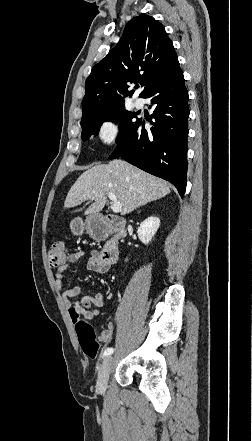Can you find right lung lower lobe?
<instances>
[{
	"label": "right lung lower lobe",
	"mask_w": 252,
	"mask_h": 441,
	"mask_svg": "<svg viewBox=\"0 0 252 441\" xmlns=\"http://www.w3.org/2000/svg\"><path fill=\"white\" fill-rule=\"evenodd\" d=\"M153 105V127L137 119L109 159L121 157L174 184L183 197L187 183L188 91L178 60L144 95Z\"/></svg>",
	"instance_id": "1"
}]
</instances>
